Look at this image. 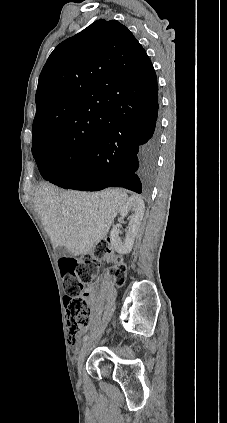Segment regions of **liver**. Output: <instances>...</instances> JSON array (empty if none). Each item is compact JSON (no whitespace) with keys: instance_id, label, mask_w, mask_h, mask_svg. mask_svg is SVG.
Instances as JSON below:
<instances>
[{"instance_id":"6515ba94","label":"liver","mask_w":227,"mask_h":423,"mask_svg":"<svg viewBox=\"0 0 227 423\" xmlns=\"http://www.w3.org/2000/svg\"><path fill=\"white\" fill-rule=\"evenodd\" d=\"M127 200L124 190L63 192L51 184L38 188L34 202L53 247L86 255L106 237Z\"/></svg>"}]
</instances>
